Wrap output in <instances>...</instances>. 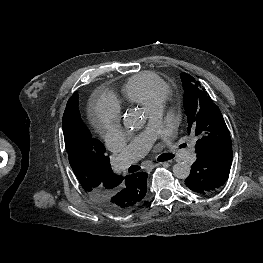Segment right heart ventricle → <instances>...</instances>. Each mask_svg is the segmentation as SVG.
Here are the masks:
<instances>
[{
  "instance_id": "right-heart-ventricle-1",
  "label": "right heart ventricle",
  "mask_w": 263,
  "mask_h": 263,
  "mask_svg": "<svg viewBox=\"0 0 263 263\" xmlns=\"http://www.w3.org/2000/svg\"><path fill=\"white\" fill-rule=\"evenodd\" d=\"M169 92L167 83L151 72L134 75L123 86V95L128 101L140 104L148 110L164 102Z\"/></svg>"
}]
</instances>
